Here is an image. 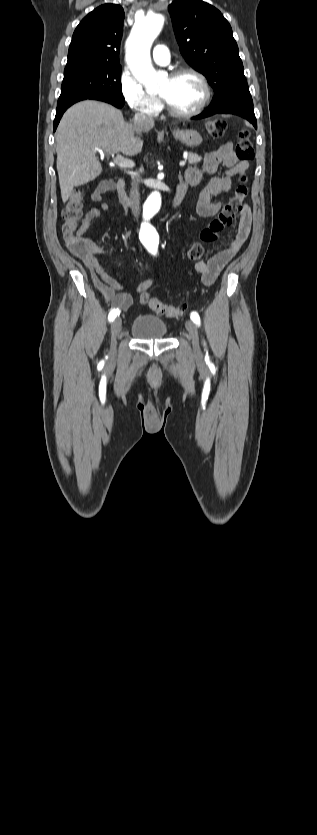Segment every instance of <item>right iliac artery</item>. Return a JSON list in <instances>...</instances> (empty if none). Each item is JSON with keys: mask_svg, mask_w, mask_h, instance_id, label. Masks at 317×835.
<instances>
[{"mask_svg": "<svg viewBox=\"0 0 317 835\" xmlns=\"http://www.w3.org/2000/svg\"><path fill=\"white\" fill-rule=\"evenodd\" d=\"M119 314H120L119 309H116V308L111 309L110 312H109V315H108V320L113 321L117 317V315H119Z\"/></svg>", "mask_w": 317, "mask_h": 835, "instance_id": "obj_1", "label": "right iliac artery"}]
</instances>
